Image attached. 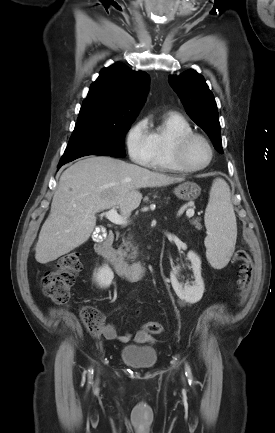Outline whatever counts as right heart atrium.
<instances>
[{
	"instance_id": "right-heart-atrium-1",
	"label": "right heart atrium",
	"mask_w": 275,
	"mask_h": 433,
	"mask_svg": "<svg viewBox=\"0 0 275 433\" xmlns=\"http://www.w3.org/2000/svg\"><path fill=\"white\" fill-rule=\"evenodd\" d=\"M125 143L133 162L143 166L148 165L151 158V140L146 118H141L130 127Z\"/></svg>"
}]
</instances>
